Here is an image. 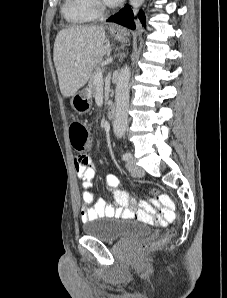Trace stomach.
I'll list each match as a JSON object with an SVG mask.
<instances>
[{"mask_svg": "<svg viewBox=\"0 0 227 298\" xmlns=\"http://www.w3.org/2000/svg\"><path fill=\"white\" fill-rule=\"evenodd\" d=\"M117 40L126 42L127 35L125 33L113 32ZM89 88H84L73 95L71 99V106L78 114H85L90 111L92 107V96Z\"/></svg>", "mask_w": 227, "mask_h": 298, "instance_id": "1", "label": "stomach"}]
</instances>
